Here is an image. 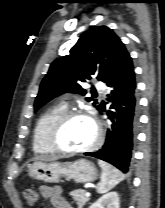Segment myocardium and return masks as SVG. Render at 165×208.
I'll return each instance as SVG.
<instances>
[{
  "mask_svg": "<svg viewBox=\"0 0 165 208\" xmlns=\"http://www.w3.org/2000/svg\"><path fill=\"white\" fill-rule=\"evenodd\" d=\"M75 117H86L88 118L95 127V138L93 142L81 149H67L60 145L59 143V135L66 124ZM102 128L97 118L87 110L76 109V110H67L63 114H61L51 125L48 134L47 141L50 147L56 152L61 154H69V155H78L85 154L96 149L101 141H102Z\"/></svg>",
  "mask_w": 165,
  "mask_h": 208,
  "instance_id": "1",
  "label": "myocardium"
}]
</instances>
